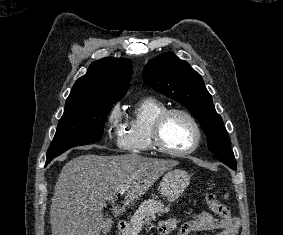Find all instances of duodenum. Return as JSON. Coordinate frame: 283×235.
<instances>
[{
	"label": "duodenum",
	"mask_w": 283,
	"mask_h": 235,
	"mask_svg": "<svg viewBox=\"0 0 283 235\" xmlns=\"http://www.w3.org/2000/svg\"><path fill=\"white\" fill-rule=\"evenodd\" d=\"M127 227V222L125 220H119L117 222V228L120 230V231H123L125 228Z\"/></svg>",
	"instance_id": "obj_1"
}]
</instances>
